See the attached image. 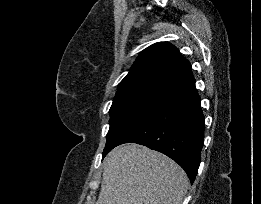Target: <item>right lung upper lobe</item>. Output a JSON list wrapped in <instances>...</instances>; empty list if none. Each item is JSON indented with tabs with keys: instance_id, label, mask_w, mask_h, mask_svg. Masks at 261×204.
Segmentation results:
<instances>
[{
	"instance_id": "right-lung-upper-lobe-1",
	"label": "right lung upper lobe",
	"mask_w": 261,
	"mask_h": 204,
	"mask_svg": "<svg viewBox=\"0 0 261 204\" xmlns=\"http://www.w3.org/2000/svg\"><path fill=\"white\" fill-rule=\"evenodd\" d=\"M192 78L189 61L170 43L158 42L140 53L116 95L139 91L168 94Z\"/></svg>"
}]
</instances>
